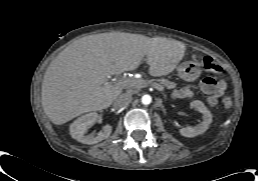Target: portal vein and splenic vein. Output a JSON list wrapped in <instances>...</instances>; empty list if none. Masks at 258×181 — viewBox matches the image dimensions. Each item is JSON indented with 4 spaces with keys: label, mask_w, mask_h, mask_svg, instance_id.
Segmentation results:
<instances>
[{
    "label": "portal vein and splenic vein",
    "mask_w": 258,
    "mask_h": 181,
    "mask_svg": "<svg viewBox=\"0 0 258 181\" xmlns=\"http://www.w3.org/2000/svg\"><path fill=\"white\" fill-rule=\"evenodd\" d=\"M117 86L127 85L130 87H145L143 80H130V81H119L116 83ZM155 89L163 91V87L159 85H152Z\"/></svg>",
    "instance_id": "portal-vein-and-splenic-vein-1"
}]
</instances>
